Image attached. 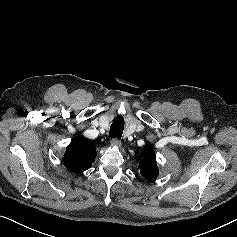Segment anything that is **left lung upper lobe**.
<instances>
[{
  "label": "left lung upper lobe",
  "mask_w": 237,
  "mask_h": 237,
  "mask_svg": "<svg viewBox=\"0 0 237 237\" xmlns=\"http://www.w3.org/2000/svg\"><path fill=\"white\" fill-rule=\"evenodd\" d=\"M141 154L142 156L139 158L140 173L146 179L153 181L158 176L154 150L151 147L146 146L142 149Z\"/></svg>",
  "instance_id": "5c2ea615"
}]
</instances>
